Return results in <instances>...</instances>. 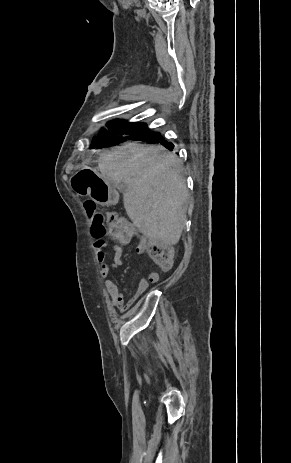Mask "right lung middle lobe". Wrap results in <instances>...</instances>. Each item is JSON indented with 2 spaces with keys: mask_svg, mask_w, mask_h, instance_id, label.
<instances>
[{
  "mask_svg": "<svg viewBox=\"0 0 291 463\" xmlns=\"http://www.w3.org/2000/svg\"><path fill=\"white\" fill-rule=\"evenodd\" d=\"M108 130L102 129L94 138L91 148H104L118 145L127 139L148 140L159 133L151 132L146 124L114 120L107 124Z\"/></svg>",
  "mask_w": 291,
  "mask_h": 463,
  "instance_id": "1",
  "label": "right lung middle lobe"
}]
</instances>
